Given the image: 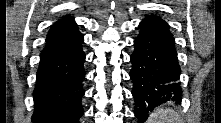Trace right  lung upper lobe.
Returning <instances> with one entry per match:
<instances>
[{
	"mask_svg": "<svg viewBox=\"0 0 221 123\" xmlns=\"http://www.w3.org/2000/svg\"><path fill=\"white\" fill-rule=\"evenodd\" d=\"M79 33L77 24L70 16H66L58 20L49 30L47 34V42L62 39L68 36H74Z\"/></svg>",
	"mask_w": 221,
	"mask_h": 123,
	"instance_id": "obj_1",
	"label": "right lung upper lobe"
}]
</instances>
